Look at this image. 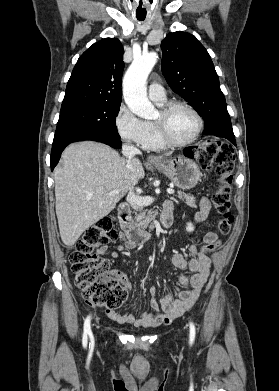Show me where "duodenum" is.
<instances>
[{
	"instance_id": "duodenum-1",
	"label": "duodenum",
	"mask_w": 279,
	"mask_h": 391,
	"mask_svg": "<svg viewBox=\"0 0 279 391\" xmlns=\"http://www.w3.org/2000/svg\"><path fill=\"white\" fill-rule=\"evenodd\" d=\"M173 207H163L160 215V224L162 227L169 228L173 223ZM118 221L126 237L127 245L134 247L147 242L152 237L150 231L141 229L134 225L130 207L127 203H122L118 208Z\"/></svg>"
}]
</instances>
